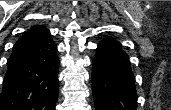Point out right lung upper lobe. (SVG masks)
Here are the masks:
<instances>
[{"label":"right lung upper lobe","mask_w":171,"mask_h":110,"mask_svg":"<svg viewBox=\"0 0 171 110\" xmlns=\"http://www.w3.org/2000/svg\"><path fill=\"white\" fill-rule=\"evenodd\" d=\"M48 33L49 30L42 25L31 28L15 43L13 51L44 37Z\"/></svg>","instance_id":"cb5924a9"}]
</instances>
